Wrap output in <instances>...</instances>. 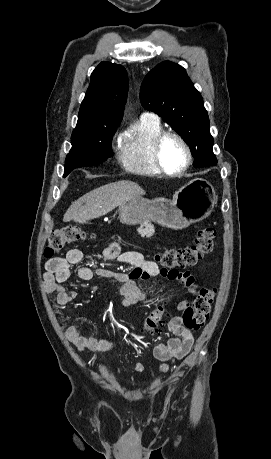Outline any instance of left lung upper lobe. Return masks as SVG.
Listing matches in <instances>:
<instances>
[{"label":"left lung upper lobe","mask_w":271,"mask_h":459,"mask_svg":"<svg viewBox=\"0 0 271 459\" xmlns=\"http://www.w3.org/2000/svg\"><path fill=\"white\" fill-rule=\"evenodd\" d=\"M140 100L145 109L161 116L187 142L194 167L217 164L203 99L183 67L168 61L157 65L143 80Z\"/></svg>","instance_id":"5c2ea615"}]
</instances>
